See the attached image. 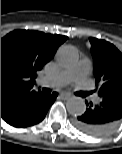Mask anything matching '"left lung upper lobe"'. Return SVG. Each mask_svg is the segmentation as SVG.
Instances as JSON below:
<instances>
[{
    "label": "left lung upper lobe",
    "instance_id": "5c2ea615",
    "mask_svg": "<svg viewBox=\"0 0 122 154\" xmlns=\"http://www.w3.org/2000/svg\"><path fill=\"white\" fill-rule=\"evenodd\" d=\"M98 96L122 92V53L111 43L89 38Z\"/></svg>",
    "mask_w": 122,
    "mask_h": 154
}]
</instances>
